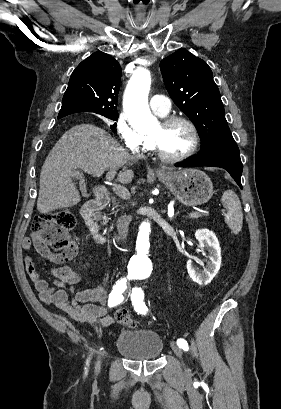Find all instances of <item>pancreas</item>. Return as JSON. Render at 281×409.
Segmentation results:
<instances>
[{"label":"pancreas","mask_w":281,"mask_h":409,"mask_svg":"<svg viewBox=\"0 0 281 409\" xmlns=\"http://www.w3.org/2000/svg\"><path fill=\"white\" fill-rule=\"evenodd\" d=\"M117 207H118V205H117ZM114 213H117V211H114ZM198 216H199V217H201V215H200V214H198Z\"/></svg>","instance_id":"1"}]
</instances>
